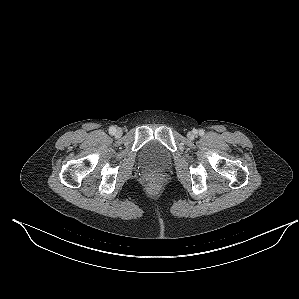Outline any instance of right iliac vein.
Listing matches in <instances>:
<instances>
[{"mask_svg": "<svg viewBox=\"0 0 299 299\" xmlns=\"http://www.w3.org/2000/svg\"><path fill=\"white\" fill-rule=\"evenodd\" d=\"M122 135V131L120 129H117L115 132L116 137H120Z\"/></svg>", "mask_w": 299, "mask_h": 299, "instance_id": "1", "label": "right iliac vein"}]
</instances>
